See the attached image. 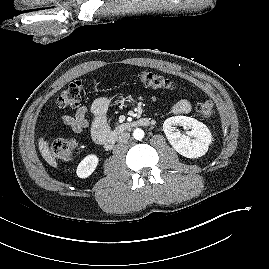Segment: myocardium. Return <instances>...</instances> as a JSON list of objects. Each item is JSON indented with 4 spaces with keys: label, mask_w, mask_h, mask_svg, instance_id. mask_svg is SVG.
I'll use <instances>...</instances> for the list:
<instances>
[{
    "label": "myocardium",
    "mask_w": 269,
    "mask_h": 269,
    "mask_svg": "<svg viewBox=\"0 0 269 269\" xmlns=\"http://www.w3.org/2000/svg\"><path fill=\"white\" fill-rule=\"evenodd\" d=\"M36 1H39V2H41V3H46V2H48V0H36ZM54 1V0H53Z\"/></svg>",
    "instance_id": "1"
}]
</instances>
